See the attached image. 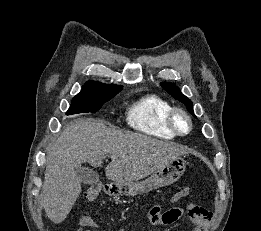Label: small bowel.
<instances>
[{
	"instance_id": "obj_1",
	"label": "small bowel",
	"mask_w": 261,
	"mask_h": 231,
	"mask_svg": "<svg viewBox=\"0 0 261 231\" xmlns=\"http://www.w3.org/2000/svg\"><path fill=\"white\" fill-rule=\"evenodd\" d=\"M188 193V188H184L173 197V200L178 199L181 194L186 196ZM183 212V209L180 207H174L163 211L159 204H153L149 208L148 222L150 226H172L181 218ZM80 225L81 228L78 231H94L96 227L95 222L88 214L82 216ZM193 231H202V229L194 225Z\"/></svg>"
}]
</instances>
